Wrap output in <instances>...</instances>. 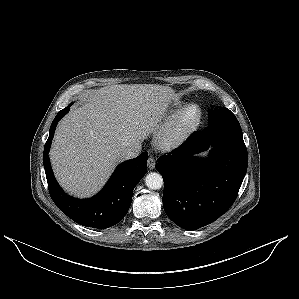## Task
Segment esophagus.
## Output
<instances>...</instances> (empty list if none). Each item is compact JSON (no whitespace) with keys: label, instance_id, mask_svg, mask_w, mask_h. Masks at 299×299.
<instances>
[{"label":"esophagus","instance_id":"1","mask_svg":"<svg viewBox=\"0 0 299 299\" xmlns=\"http://www.w3.org/2000/svg\"><path fill=\"white\" fill-rule=\"evenodd\" d=\"M148 168L149 169H154L155 168V159L153 157H150L147 161Z\"/></svg>","mask_w":299,"mask_h":299}]
</instances>
